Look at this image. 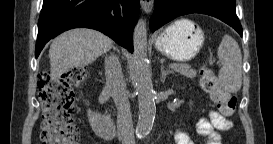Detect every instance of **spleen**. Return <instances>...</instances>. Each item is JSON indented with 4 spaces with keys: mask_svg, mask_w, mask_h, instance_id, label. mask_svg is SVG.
<instances>
[{
    "mask_svg": "<svg viewBox=\"0 0 273 144\" xmlns=\"http://www.w3.org/2000/svg\"><path fill=\"white\" fill-rule=\"evenodd\" d=\"M217 55L221 63L218 74L221 87L231 93L238 92L242 84V55L238 43L230 35H224Z\"/></svg>",
    "mask_w": 273,
    "mask_h": 144,
    "instance_id": "obj_1",
    "label": "spleen"
}]
</instances>
